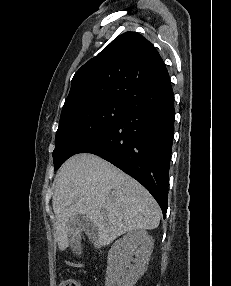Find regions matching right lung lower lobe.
Masks as SVG:
<instances>
[{
    "label": "right lung lower lobe",
    "instance_id": "98d812e1",
    "mask_svg": "<svg viewBox=\"0 0 231 286\" xmlns=\"http://www.w3.org/2000/svg\"><path fill=\"white\" fill-rule=\"evenodd\" d=\"M127 113L78 153H92L140 182L165 217L174 134V96L170 79L126 102Z\"/></svg>",
    "mask_w": 231,
    "mask_h": 286
}]
</instances>
